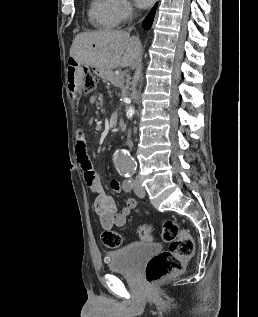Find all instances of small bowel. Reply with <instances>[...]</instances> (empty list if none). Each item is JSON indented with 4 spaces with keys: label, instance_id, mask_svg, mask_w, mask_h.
Returning <instances> with one entry per match:
<instances>
[{
    "label": "small bowel",
    "instance_id": "1",
    "mask_svg": "<svg viewBox=\"0 0 258 317\" xmlns=\"http://www.w3.org/2000/svg\"><path fill=\"white\" fill-rule=\"evenodd\" d=\"M75 152L77 161L83 171L85 182L94 197V208L102 228L111 230L115 227L124 226L127 217L137 203L134 199L128 198L122 209L120 211L117 210L115 200L104 190L100 176L90 160L87 152L85 131L81 126H78L75 131ZM110 187L114 192L122 190V185L117 179L111 180Z\"/></svg>",
    "mask_w": 258,
    "mask_h": 317
}]
</instances>
